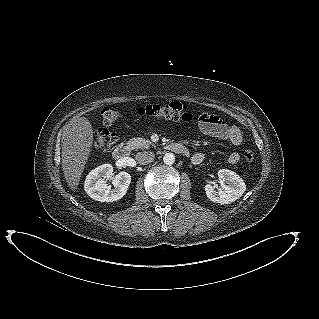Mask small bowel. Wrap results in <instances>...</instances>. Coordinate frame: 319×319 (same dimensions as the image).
Here are the masks:
<instances>
[{
  "label": "small bowel",
  "mask_w": 319,
  "mask_h": 319,
  "mask_svg": "<svg viewBox=\"0 0 319 319\" xmlns=\"http://www.w3.org/2000/svg\"><path fill=\"white\" fill-rule=\"evenodd\" d=\"M199 126L205 134L227 141L234 146H239L243 142L241 130L236 126L227 125L216 115L205 113V116L199 121ZM205 158V153H194L191 155V162L194 165H199L205 160ZM239 160L240 154L237 151L231 152L227 158L229 164H236Z\"/></svg>",
  "instance_id": "small-bowel-1"
}]
</instances>
